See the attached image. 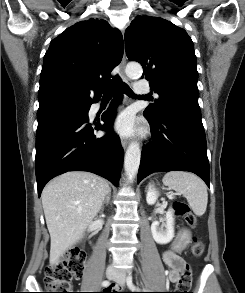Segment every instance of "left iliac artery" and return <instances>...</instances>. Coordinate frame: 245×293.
I'll list each match as a JSON object with an SVG mask.
<instances>
[{"label":"left iliac artery","mask_w":245,"mask_h":293,"mask_svg":"<svg viewBox=\"0 0 245 293\" xmlns=\"http://www.w3.org/2000/svg\"><path fill=\"white\" fill-rule=\"evenodd\" d=\"M127 285L131 290H137V288L135 287V285L132 282L131 274H129V276L127 277Z\"/></svg>","instance_id":"1"}]
</instances>
